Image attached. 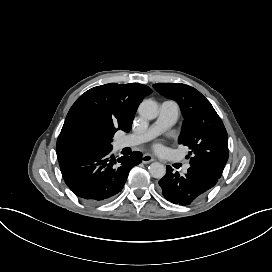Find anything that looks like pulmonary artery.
<instances>
[{"label": "pulmonary artery", "mask_w": 272, "mask_h": 272, "mask_svg": "<svg viewBox=\"0 0 272 272\" xmlns=\"http://www.w3.org/2000/svg\"><path fill=\"white\" fill-rule=\"evenodd\" d=\"M179 116V107L174 101H164L160 104L159 115L155 123L151 126L139 130L136 133L120 137L113 142L115 150H120L124 147L136 145L156 137L160 133L172 127ZM181 171L188 173L190 166L188 164H180Z\"/></svg>", "instance_id": "obj_1"}]
</instances>
